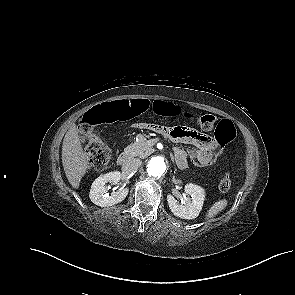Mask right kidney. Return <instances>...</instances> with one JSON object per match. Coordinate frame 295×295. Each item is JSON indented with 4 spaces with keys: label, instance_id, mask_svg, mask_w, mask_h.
<instances>
[{
    "label": "right kidney",
    "instance_id": "right-kidney-1",
    "mask_svg": "<svg viewBox=\"0 0 295 295\" xmlns=\"http://www.w3.org/2000/svg\"><path fill=\"white\" fill-rule=\"evenodd\" d=\"M121 173L119 171L109 172L101 175L93 182L90 190V200L101 207L112 206L122 202L128 195L129 189H119L111 194L108 193L105 185L107 183L117 184L120 181Z\"/></svg>",
    "mask_w": 295,
    "mask_h": 295
}]
</instances>
